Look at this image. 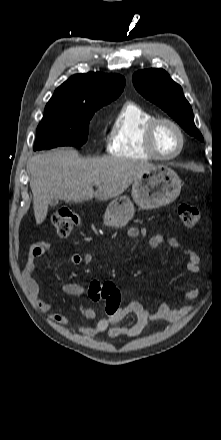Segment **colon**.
Listing matches in <instances>:
<instances>
[{"instance_id": "1", "label": "colon", "mask_w": 221, "mask_h": 440, "mask_svg": "<svg viewBox=\"0 0 221 440\" xmlns=\"http://www.w3.org/2000/svg\"><path fill=\"white\" fill-rule=\"evenodd\" d=\"M178 215L186 228H194L200 222L199 210L188 204L178 207ZM52 223L61 237L68 236L80 224V216L69 208L57 209L52 215ZM88 297L94 302L103 300L106 307L104 321H111L112 315H119L121 305L120 290L113 281L90 282Z\"/></svg>"}]
</instances>
